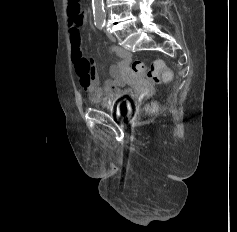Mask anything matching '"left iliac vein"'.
<instances>
[{
	"instance_id": "left-iliac-vein-1",
	"label": "left iliac vein",
	"mask_w": 237,
	"mask_h": 232,
	"mask_svg": "<svg viewBox=\"0 0 237 232\" xmlns=\"http://www.w3.org/2000/svg\"><path fill=\"white\" fill-rule=\"evenodd\" d=\"M107 36H108V38H109L111 41H113V42L116 41V37H115L112 33L107 32Z\"/></svg>"
}]
</instances>
